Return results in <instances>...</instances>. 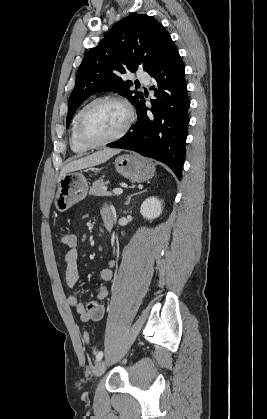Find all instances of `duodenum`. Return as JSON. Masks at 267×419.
I'll return each mask as SVG.
<instances>
[{"label":"duodenum","mask_w":267,"mask_h":419,"mask_svg":"<svg viewBox=\"0 0 267 419\" xmlns=\"http://www.w3.org/2000/svg\"><path fill=\"white\" fill-rule=\"evenodd\" d=\"M104 227L107 231H111L113 228V220L111 218L105 219Z\"/></svg>","instance_id":"1"}]
</instances>
